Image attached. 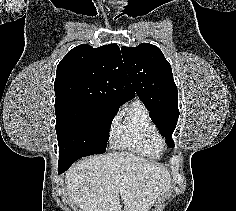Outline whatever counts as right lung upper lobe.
<instances>
[{
    "label": "right lung upper lobe",
    "instance_id": "cb5924a9",
    "mask_svg": "<svg viewBox=\"0 0 236 211\" xmlns=\"http://www.w3.org/2000/svg\"><path fill=\"white\" fill-rule=\"evenodd\" d=\"M55 108L97 105L119 108L130 100V85L115 44L98 48L82 44L68 52L57 66Z\"/></svg>",
    "mask_w": 236,
    "mask_h": 211
}]
</instances>
